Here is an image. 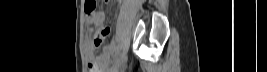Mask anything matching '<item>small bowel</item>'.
<instances>
[{
    "label": "small bowel",
    "mask_w": 267,
    "mask_h": 72,
    "mask_svg": "<svg viewBox=\"0 0 267 72\" xmlns=\"http://www.w3.org/2000/svg\"><path fill=\"white\" fill-rule=\"evenodd\" d=\"M104 15L102 12H98L92 17L87 19V24L93 25L104 32L105 35L109 33V29L103 27ZM112 51V47L110 45L104 48V53L95 56V44L93 41H87L85 43V54L90 66L93 68L92 72H105L110 63V53Z\"/></svg>",
    "instance_id": "obj_1"
}]
</instances>
